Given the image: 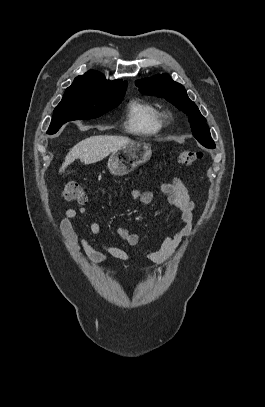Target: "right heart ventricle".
<instances>
[{
  "label": "right heart ventricle",
  "instance_id": "obj_1",
  "mask_svg": "<svg viewBox=\"0 0 265 407\" xmlns=\"http://www.w3.org/2000/svg\"><path fill=\"white\" fill-rule=\"evenodd\" d=\"M125 126L138 136L155 135L163 126L161 113L150 103L133 100L127 108Z\"/></svg>",
  "mask_w": 265,
  "mask_h": 407
}]
</instances>
